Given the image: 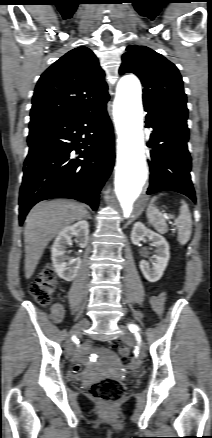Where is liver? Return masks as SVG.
Listing matches in <instances>:
<instances>
[{
	"label": "liver",
	"instance_id": "6515ba94",
	"mask_svg": "<svg viewBox=\"0 0 212 438\" xmlns=\"http://www.w3.org/2000/svg\"><path fill=\"white\" fill-rule=\"evenodd\" d=\"M87 213L84 205L69 200L42 201L31 209L24 230L26 279L33 275L47 244Z\"/></svg>",
	"mask_w": 212,
	"mask_h": 438
}]
</instances>
